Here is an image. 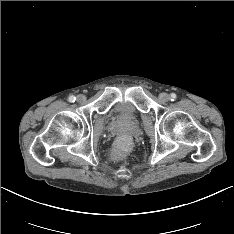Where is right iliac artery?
<instances>
[{"label":"right iliac artery","mask_w":234,"mask_h":234,"mask_svg":"<svg viewBox=\"0 0 234 234\" xmlns=\"http://www.w3.org/2000/svg\"><path fill=\"white\" fill-rule=\"evenodd\" d=\"M69 102H74L76 100L75 96L71 95L68 98Z\"/></svg>","instance_id":"1"}]
</instances>
